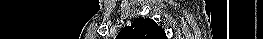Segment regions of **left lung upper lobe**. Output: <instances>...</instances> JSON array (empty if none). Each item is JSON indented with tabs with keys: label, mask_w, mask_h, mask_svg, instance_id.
I'll list each match as a JSON object with an SVG mask.
<instances>
[{
	"label": "left lung upper lobe",
	"mask_w": 263,
	"mask_h": 39,
	"mask_svg": "<svg viewBox=\"0 0 263 39\" xmlns=\"http://www.w3.org/2000/svg\"><path fill=\"white\" fill-rule=\"evenodd\" d=\"M116 39H166L162 27L152 19H136L131 26L122 28Z\"/></svg>",
	"instance_id": "5c2ea615"
}]
</instances>
